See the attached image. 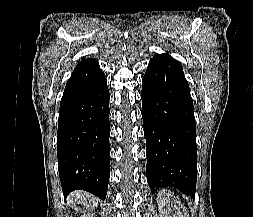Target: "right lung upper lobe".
Segmentation results:
<instances>
[{"label":"right lung upper lobe","mask_w":253,"mask_h":217,"mask_svg":"<svg viewBox=\"0 0 253 217\" xmlns=\"http://www.w3.org/2000/svg\"><path fill=\"white\" fill-rule=\"evenodd\" d=\"M92 60H94V59L88 58V59H86V60L80 62L78 65H81V64H83V63H86V62H89V61H92ZM78 65H77V66H78Z\"/></svg>","instance_id":"1"}]
</instances>
